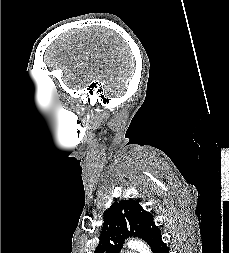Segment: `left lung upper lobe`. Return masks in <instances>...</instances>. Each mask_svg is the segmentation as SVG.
Returning a JSON list of instances; mask_svg holds the SVG:
<instances>
[{
    "label": "left lung upper lobe",
    "instance_id": "1",
    "mask_svg": "<svg viewBox=\"0 0 229 253\" xmlns=\"http://www.w3.org/2000/svg\"><path fill=\"white\" fill-rule=\"evenodd\" d=\"M131 236L142 238L153 250L161 240V231L139 200L115 202L105 212L100 242L94 253H120L124 240Z\"/></svg>",
    "mask_w": 229,
    "mask_h": 253
}]
</instances>
